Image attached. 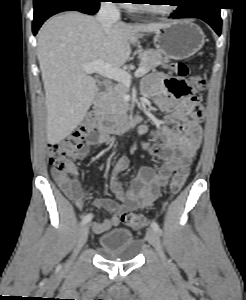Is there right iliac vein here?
<instances>
[{
	"label": "right iliac vein",
	"mask_w": 246,
	"mask_h": 300,
	"mask_svg": "<svg viewBox=\"0 0 246 300\" xmlns=\"http://www.w3.org/2000/svg\"><path fill=\"white\" fill-rule=\"evenodd\" d=\"M88 232H89V225L88 224L83 225L78 233L74 256L79 252V250L86 243ZM72 263H73V258L69 261L68 266H71Z\"/></svg>",
	"instance_id": "right-iliac-vein-1"
}]
</instances>
